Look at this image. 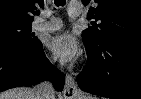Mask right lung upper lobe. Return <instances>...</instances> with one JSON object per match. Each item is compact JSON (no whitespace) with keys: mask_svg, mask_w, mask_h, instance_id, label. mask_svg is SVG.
<instances>
[{"mask_svg":"<svg viewBox=\"0 0 141 99\" xmlns=\"http://www.w3.org/2000/svg\"><path fill=\"white\" fill-rule=\"evenodd\" d=\"M36 5L44 6V0H0V22H32Z\"/></svg>","mask_w":141,"mask_h":99,"instance_id":"1","label":"right lung upper lobe"}]
</instances>
